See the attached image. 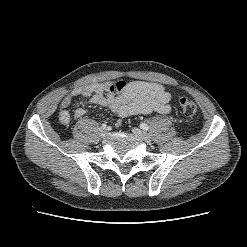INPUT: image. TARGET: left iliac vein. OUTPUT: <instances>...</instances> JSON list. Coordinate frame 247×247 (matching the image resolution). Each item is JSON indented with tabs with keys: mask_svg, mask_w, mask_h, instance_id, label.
<instances>
[{
	"mask_svg": "<svg viewBox=\"0 0 247 247\" xmlns=\"http://www.w3.org/2000/svg\"><path fill=\"white\" fill-rule=\"evenodd\" d=\"M132 132L136 136H138L139 138H141L142 140H144L145 142H150L151 141L150 136L146 132H144V131H142V130H140L138 128H133L132 129Z\"/></svg>",
	"mask_w": 247,
	"mask_h": 247,
	"instance_id": "1",
	"label": "left iliac vein"
}]
</instances>
